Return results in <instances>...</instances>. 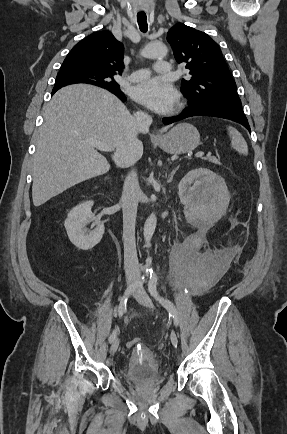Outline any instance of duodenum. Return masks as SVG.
I'll list each match as a JSON object with an SVG mask.
<instances>
[{
  "mask_svg": "<svg viewBox=\"0 0 287 434\" xmlns=\"http://www.w3.org/2000/svg\"><path fill=\"white\" fill-rule=\"evenodd\" d=\"M108 186L112 189V184L110 182L108 183ZM111 194H112V192H111Z\"/></svg>",
  "mask_w": 287,
  "mask_h": 434,
  "instance_id": "410a0bca",
  "label": "duodenum"
}]
</instances>
